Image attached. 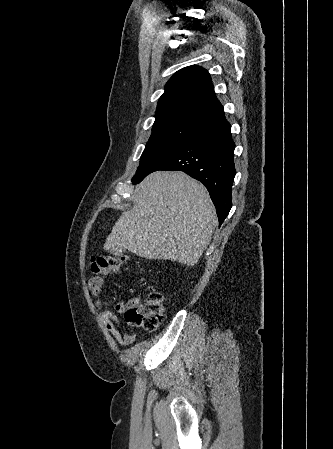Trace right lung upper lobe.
<instances>
[{"label": "right lung upper lobe", "mask_w": 333, "mask_h": 449, "mask_svg": "<svg viewBox=\"0 0 333 449\" xmlns=\"http://www.w3.org/2000/svg\"><path fill=\"white\" fill-rule=\"evenodd\" d=\"M153 130L184 124L201 128L225 119L223 106L214 93L211 77L199 66L177 71L160 97Z\"/></svg>", "instance_id": "right-lung-upper-lobe-1"}]
</instances>
